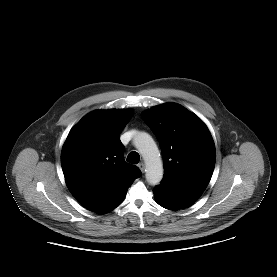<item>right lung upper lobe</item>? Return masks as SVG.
I'll use <instances>...</instances> for the list:
<instances>
[{"mask_svg":"<svg viewBox=\"0 0 277 277\" xmlns=\"http://www.w3.org/2000/svg\"><path fill=\"white\" fill-rule=\"evenodd\" d=\"M132 116L130 110H97L70 131L61 153V165L72 195L85 208L101 213L117 201L140 177L125 162L119 134Z\"/></svg>","mask_w":277,"mask_h":277,"instance_id":"1","label":"right lung upper lobe"}]
</instances>
